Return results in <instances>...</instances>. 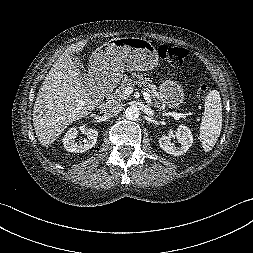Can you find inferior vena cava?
Listing matches in <instances>:
<instances>
[{
	"instance_id": "obj_1",
	"label": "inferior vena cava",
	"mask_w": 253,
	"mask_h": 253,
	"mask_svg": "<svg viewBox=\"0 0 253 253\" xmlns=\"http://www.w3.org/2000/svg\"><path fill=\"white\" fill-rule=\"evenodd\" d=\"M122 109H123V104L120 102L108 103L102 107V110L108 116L117 115Z\"/></svg>"
}]
</instances>
